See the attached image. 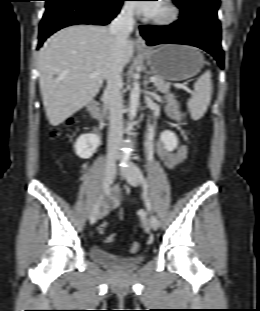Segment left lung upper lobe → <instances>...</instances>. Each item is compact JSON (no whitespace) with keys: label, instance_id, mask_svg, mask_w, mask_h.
Instances as JSON below:
<instances>
[{"label":"left lung upper lobe","instance_id":"1","mask_svg":"<svg viewBox=\"0 0 260 311\" xmlns=\"http://www.w3.org/2000/svg\"><path fill=\"white\" fill-rule=\"evenodd\" d=\"M181 9V16L202 15L215 22L217 19V10L219 0H173Z\"/></svg>","mask_w":260,"mask_h":311}]
</instances>
